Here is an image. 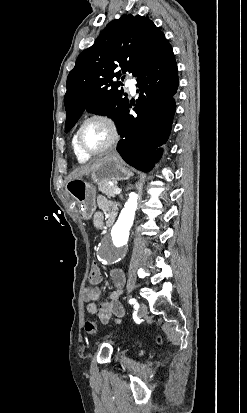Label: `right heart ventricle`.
Listing matches in <instances>:
<instances>
[{
  "label": "right heart ventricle",
  "mask_w": 247,
  "mask_h": 413,
  "mask_svg": "<svg viewBox=\"0 0 247 413\" xmlns=\"http://www.w3.org/2000/svg\"><path fill=\"white\" fill-rule=\"evenodd\" d=\"M75 136H76V133L73 135V138H72V148H73V150H74V153H75V156H76L77 160H78L80 163H85V162H87V161L89 160V158L86 157V156H84V155H83L82 153H80V151L78 150V148H77V146H76Z\"/></svg>",
  "instance_id": "obj_1"
}]
</instances>
